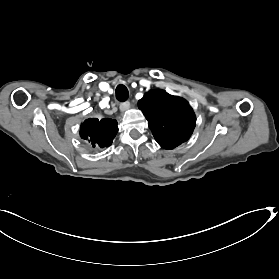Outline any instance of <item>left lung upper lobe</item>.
<instances>
[{
  "mask_svg": "<svg viewBox=\"0 0 279 279\" xmlns=\"http://www.w3.org/2000/svg\"><path fill=\"white\" fill-rule=\"evenodd\" d=\"M155 140L164 149H173L191 136L196 117L188 102L164 90H151L138 101Z\"/></svg>",
  "mask_w": 279,
  "mask_h": 279,
  "instance_id": "left-lung-upper-lobe-1",
  "label": "left lung upper lobe"
}]
</instances>
